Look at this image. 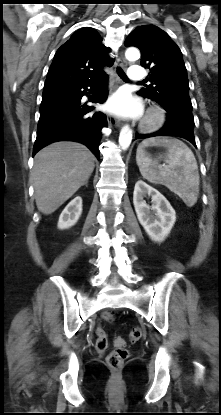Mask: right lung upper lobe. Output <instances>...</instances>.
Returning a JSON list of instances; mask_svg holds the SVG:
<instances>
[{
	"mask_svg": "<svg viewBox=\"0 0 221 415\" xmlns=\"http://www.w3.org/2000/svg\"><path fill=\"white\" fill-rule=\"evenodd\" d=\"M109 49L92 28L77 30L56 52L49 68L44 89L76 85L97 80L105 75L103 67H111Z\"/></svg>",
	"mask_w": 221,
	"mask_h": 415,
	"instance_id": "obj_1",
	"label": "right lung upper lobe"
}]
</instances>
